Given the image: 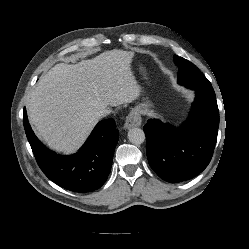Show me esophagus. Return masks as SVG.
<instances>
[{"mask_svg":"<svg viewBox=\"0 0 249 249\" xmlns=\"http://www.w3.org/2000/svg\"><path fill=\"white\" fill-rule=\"evenodd\" d=\"M142 123V118L138 110L133 109L128 116L124 124L125 129H130L133 127H139Z\"/></svg>","mask_w":249,"mask_h":249,"instance_id":"obj_1","label":"esophagus"}]
</instances>
